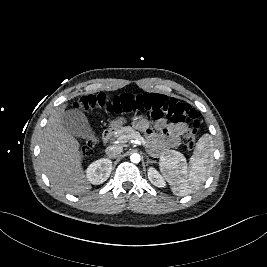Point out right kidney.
<instances>
[{
	"instance_id": "right-kidney-1",
	"label": "right kidney",
	"mask_w": 267,
	"mask_h": 267,
	"mask_svg": "<svg viewBox=\"0 0 267 267\" xmlns=\"http://www.w3.org/2000/svg\"><path fill=\"white\" fill-rule=\"evenodd\" d=\"M111 170V160L105 158L96 160L86 170L87 179L94 185L101 184L109 178Z\"/></svg>"
}]
</instances>
